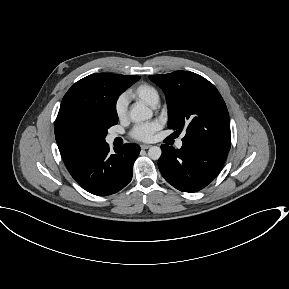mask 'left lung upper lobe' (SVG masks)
Instances as JSON below:
<instances>
[{
	"mask_svg": "<svg viewBox=\"0 0 289 289\" xmlns=\"http://www.w3.org/2000/svg\"><path fill=\"white\" fill-rule=\"evenodd\" d=\"M163 89L168 106V128L186 130L182 141L230 150V119L226 104L204 77L188 71L151 75Z\"/></svg>",
	"mask_w": 289,
	"mask_h": 289,
	"instance_id": "obj_1",
	"label": "left lung upper lobe"
}]
</instances>
